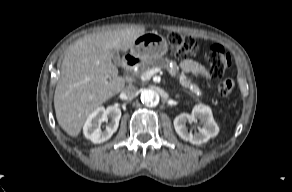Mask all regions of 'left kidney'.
I'll return each mask as SVG.
<instances>
[{
  "mask_svg": "<svg viewBox=\"0 0 292 192\" xmlns=\"http://www.w3.org/2000/svg\"><path fill=\"white\" fill-rule=\"evenodd\" d=\"M197 119L201 121L203 127L199 128L198 133L193 134L188 131L186 122H195ZM174 128L183 140L195 145L205 143L219 133V127L213 118L211 108L202 103L195 105L191 114L182 113L178 115L174 119Z\"/></svg>",
  "mask_w": 292,
  "mask_h": 192,
  "instance_id": "5707ae66",
  "label": "left kidney"
}]
</instances>
